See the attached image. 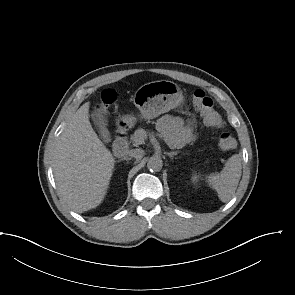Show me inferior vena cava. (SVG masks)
Masks as SVG:
<instances>
[{
    "label": "inferior vena cava",
    "mask_w": 295,
    "mask_h": 295,
    "mask_svg": "<svg viewBox=\"0 0 295 295\" xmlns=\"http://www.w3.org/2000/svg\"><path fill=\"white\" fill-rule=\"evenodd\" d=\"M144 151L142 149H132L128 152L130 157L140 159L143 157Z\"/></svg>",
    "instance_id": "602c4592"
}]
</instances>
